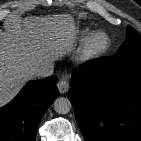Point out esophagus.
<instances>
[{"instance_id": "esophagus-1", "label": "esophagus", "mask_w": 141, "mask_h": 141, "mask_svg": "<svg viewBox=\"0 0 141 141\" xmlns=\"http://www.w3.org/2000/svg\"><path fill=\"white\" fill-rule=\"evenodd\" d=\"M58 90L61 94H64L68 91L69 85L66 79H61L57 83Z\"/></svg>"}]
</instances>
